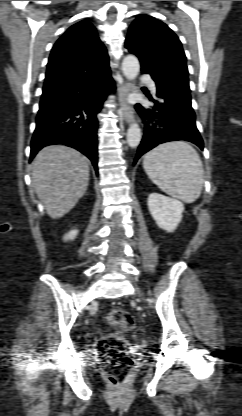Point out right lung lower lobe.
Listing matches in <instances>:
<instances>
[{
  "label": "right lung lower lobe",
  "mask_w": 242,
  "mask_h": 416,
  "mask_svg": "<svg viewBox=\"0 0 242 416\" xmlns=\"http://www.w3.org/2000/svg\"><path fill=\"white\" fill-rule=\"evenodd\" d=\"M110 88L114 89V82L108 70L83 81L43 90L30 160L45 146L65 144L86 155L98 173L97 114Z\"/></svg>",
  "instance_id": "1"
}]
</instances>
